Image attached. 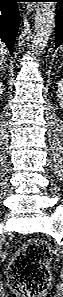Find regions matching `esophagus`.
<instances>
[{"label": "esophagus", "instance_id": "1", "mask_svg": "<svg viewBox=\"0 0 63 297\" xmlns=\"http://www.w3.org/2000/svg\"><path fill=\"white\" fill-rule=\"evenodd\" d=\"M27 8L29 9V8H30V6L28 5V6H27Z\"/></svg>", "mask_w": 63, "mask_h": 297}]
</instances>
